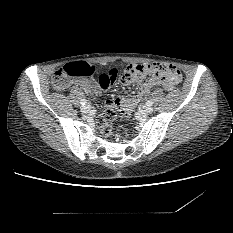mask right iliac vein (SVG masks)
Here are the masks:
<instances>
[{
	"instance_id": "63e3f726",
	"label": "right iliac vein",
	"mask_w": 233,
	"mask_h": 233,
	"mask_svg": "<svg viewBox=\"0 0 233 233\" xmlns=\"http://www.w3.org/2000/svg\"><path fill=\"white\" fill-rule=\"evenodd\" d=\"M91 111V106L90 105H84L81 107V112L82 113H88Z\"/></svg>"
}]
</instances>
